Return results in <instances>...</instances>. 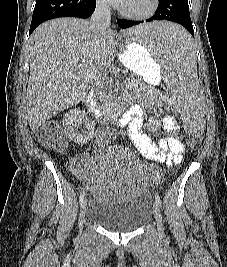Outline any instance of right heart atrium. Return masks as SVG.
Instances as JSON below:
<instances>
[{
    "label": "right heart atrium",
    "instance_id": "1",
    "mask_svg": "<svg viewBox=\"0 0 227 267\" xmlns=\"http://www.w3.org/2000/svg\"><path fill=\"white\" fill-rule=\"evenodd\" d=\"M110 0H96V5L101 9H108Z\"/></svg>",
    "mask_w": 227,
    "mask_h": 267
}]
</instances>
